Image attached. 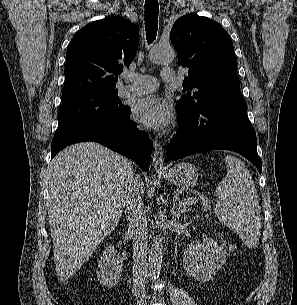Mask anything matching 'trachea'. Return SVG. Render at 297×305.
<instances>
[{
    "mask_svg": "<svg viewBox=\"0 0 297 305\" xmlns=\"http://www.w3.org/2000/svg\"><path fill=\"white\" fill-rule=\"evenodd\" d=\"M158 12V0H145V30L148 43H151L156 39Z\"/></svg>",
    "mask_w": 297,
    "mask_h": 305,
    "instance_id": "3493384b",
    "label": "trachea"
}]
</instances>
